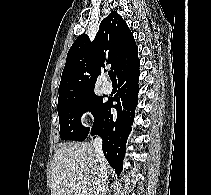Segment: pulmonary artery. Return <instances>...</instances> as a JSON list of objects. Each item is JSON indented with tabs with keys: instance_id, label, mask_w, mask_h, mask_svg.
Wrapping results in <instances>:
<instances>
[{
	"instance_id": "e3ab8cb5",
	"label": "pulmonary artery",
	"mask_w": 211,
	"mask_h": 195,
	"mask_svg": "<svg viewBox=\"0 0 211 195\" xmlns=\"http://www.w3.org/2000/svg\"><path fill=\"white\" fill-rule=\"evenodd\" d=\"M102 87L105 93H110L112 91V84L106 77L103 79Z\"/></svg>"
}]
</instances>
